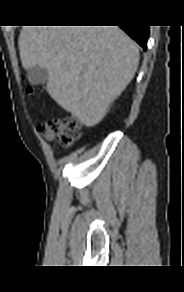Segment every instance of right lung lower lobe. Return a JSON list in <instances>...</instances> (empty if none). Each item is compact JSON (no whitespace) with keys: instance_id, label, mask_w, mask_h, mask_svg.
<instances>
[{"instance_id":"obj_1","label":"right lung lower lobe","mask_w":184,"mask_h":292,"mask_svg":"<svg viewBox=\"0 0 184 292\" xmlns=\"http://www.w3.org/2000/svg\"><path fill=\"white\" fill-rule=\"evenodd\" d=\"M132 39H134L143 49L147 48L149 37L148 26H120Z\"/></svg>"}]
</instances>
